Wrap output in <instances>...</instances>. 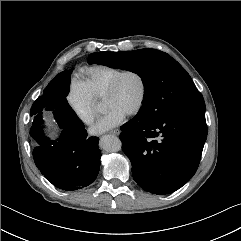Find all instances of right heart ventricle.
<instances>
[{"label": "right heart ventricle", "instance_id": "right-heart-ventricle-1", "mask_svg": "<svg viewBox=\"0 0 241 241\" xmlns=\"http://www.w3.org/2000/svg\"><path fill=\"white\" fill-rule=\"evenodd\" d=\"M122 69L114 66L96 64L81 69L82 83L94 99L103 97L104 91L110 81Z\"/></svg>", "mask_w": 241, "mask_h": 241}]
</instances>
